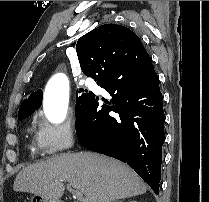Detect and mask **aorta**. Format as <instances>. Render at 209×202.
Segmentation results:
<instances>
[{
  "mask_svg": "<svg viewBox=\"0 0 209 202\" xmlns=\"http://www.w3.org/2000/svg\"><path fill=\"white\" fill-rule=\"evenodd\" d=\"M69 81L64 74L54 75L48 82L43 100L44 113L52 123L64 121L68 108Z\"/></svg>",
  "mask_w": 209,
  "mask_h": 202,
  "instance_id": "aorta-1",
  "label": "aorta"
}]
</instances>
